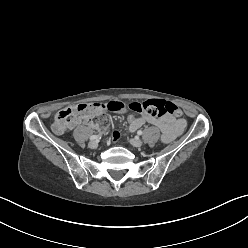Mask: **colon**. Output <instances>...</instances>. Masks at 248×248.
I'll list each match as a JSON object with an SVG mask.
<instances>
[{"mask_svg":"<svg viewBox=\"0 0 248 248\" xmlns=\"http://www.w3.org/2000/svg\"><path fill=\"white\" fill-rule=\"evenodd\" d=\"M126 109L152 117H160L167 114L176 117L182 115L181 110L175 104L163 100L133 101L128 104L111 102L108 105L99 102L79 104L60 110L54 116L52 128L55 133L62 134L75 123L84 121L94 124L102 132H107L111 128L110 118L106 113L107 110L121 112ZM134 120L135 115L129 113L125 117V124L131 125Z\"/></svg>","mask_w":248,"mask_h":248,"instance_id":"5ec220e1","label":"colon"}]
</instances>
